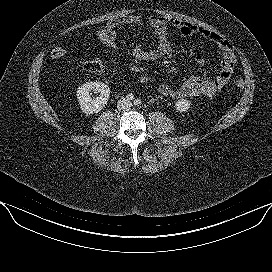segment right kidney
<instances>
[{
  "label": "right kidney",
  "instance_id": "1",
  "mask_svg": "<svg viewBox=\"0 0 272 272\" xmlns=\"http://www.w3.org/2000/svg\"><path fill=\"white\" fill-rule=\"evenodd\" d=\"M92 91L100 95L92 98ZM109 96L110 89L102 82H87L77 90V99L80 108L86 115L100 112L107 104Z\"/></svg>",
  "mask_w": 272,
  "mask_h": 272
}]
</instances>
